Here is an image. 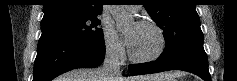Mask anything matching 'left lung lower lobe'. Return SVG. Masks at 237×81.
<instances>
[{"label":"left lung lower lobe","instance_id":"left-lung-lower-lobe-1","mask_svg":"<svg viewBox=\"0 0 237 81\" xmlns=\"http://www.w3.org/2000/svg\"><path fill=\"white\" fill-rule=\"evenodd\" d=\"M168 70L188 71L201 77L204 81H211L203 41L189 44L171 57L161 54L156 61L129 66L132 75L151 74Z\"/></svg>","mask_w":237,"mask_h":81}]
</instances>
